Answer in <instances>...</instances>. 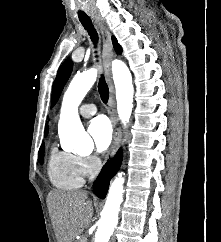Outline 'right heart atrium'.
I'll return each instance as SVG.
<instances>
[{
  "instance_id": "1",
  "label": "right heart atrium",
  "mask_w": 221,
  "mask_h": 242,
  "mask_svg": "<svg viewBox=\"0 0 221 242\" xmlns=\"http://www.w3.org/2000/svg\"><path fill=\"white\" fill-rule=\"evenodd\" d=\"M78 166L82 176H89L98 170L100 162L93 155L78 156Z\"/></svg>"
}]
</instances>
